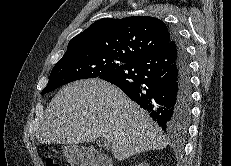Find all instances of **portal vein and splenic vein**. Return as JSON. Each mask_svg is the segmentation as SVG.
<instances>
[{"instance_id":"obj_1","label":"portal vein and splenic vein","mask_w":231,"mask_h":166,"mask_svg":"<svg viewBox=\"0 0 231 166\" xmlns=\"http://www.w3.org/2000/svg\"><path fill=\"white\" fill-rule=\"evenodd\" d=\"M101 141L103 142V146L108 149L110 147V140L107 138H101Z\"/></svg>"}]
</instances>
